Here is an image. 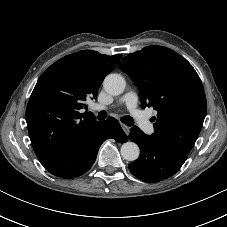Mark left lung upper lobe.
<instances>
[{"label": "left lung upper lobe", "mask_w": 227, "mask_h": 227, "mask_svg": "<svg viewBox=\"0 0 227 227\" xmlns=\"http://www.w3.org/2000/svg\"><path fill=\"white\" fill-rule=\"evenodd\" d=\"M119 67L138 86L142 108L157 111L152 135L188 155L207 111L204 88L192 65L175 51L152 45L128 54Z\"/></svg>", "instance_id": "1"}]
</instances>
